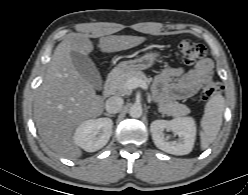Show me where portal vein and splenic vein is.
Instances as JSON below:
<instances>
[{"mask_svg": "<svg viewBox=\"0 0 248 195\" xmlns=\"http://www.w3.org/2000/svg\"><path fill=\"white\" fill-rule=\"evenodd\" d=\"M137 87H141L143 89H146L147 84L143 80H140V79H137V78H132V79H129L126 82V85H125V88L128 89V90H132V89H135Z\"/></svg>", "mask_w": 248, "mask_h": 195, "instance_id": "18ae733b", "label": "portal vein and splenic vein"}]
</instances>
